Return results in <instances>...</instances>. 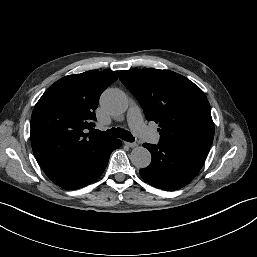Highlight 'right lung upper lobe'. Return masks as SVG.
<instances>
[{
	"mask_svg": "<svg viewBox=\"0 0 257 257\" xmlns=\"http://www.w3.org/2000/svg\"><path fill=\"white\" fill-rule=\"evenodd\" d=\"M118 72L87 71L68 75L51 85L31 116L33 153L46 173L78 161L110 139L86 134L96 120L101 93Z\"/></svg>",
	"mask_w": 257,
	"mask_h": 257,
	"instance_id": "right-lung-upper-lobe-1",
	"label": "right lung upper lobe"
}]
</instances>
